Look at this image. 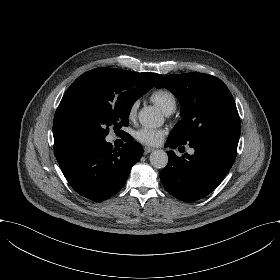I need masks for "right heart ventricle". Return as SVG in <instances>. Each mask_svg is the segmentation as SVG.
<instances>
[{"instance_id":"right-heart-ventricle-1","label":"right heart ventricle","mask_w":280,"mask_h":280,"mask_svg":"<svg viewBox=\"0 0 280 280\" xmlns=\"http://www.w3.org/2000/svg\"><path fill=\"white\" fill-rule=\"evenodd\" d=\"M150 100L157 104L165 113H171L176 109L177 98L175 94L167 88H157L149 96Z\"/></svg>"}]
</instances>
